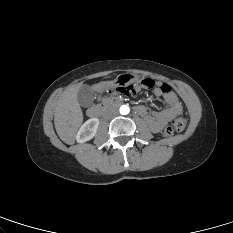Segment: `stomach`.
Listing matches in <instances>:
<instances>
[{
    "mask_svg": "<svg viewBox=\"0 0 233 233\" xmlns=\"http://www.w3.org/2000/svg\"><path fill=\"white\" fill-rule=\"evenodd\" d=\"M140 84V77L137 74H130L129 72H122L112 79H105L102 82V88L105 92H118L126 86L137 87Z\"/></svg>",
    "mask_w": 233,
    "mask_h": 233,
    "instance_id": "obj_1",
    "label": "stomach"
}]
</instances>
